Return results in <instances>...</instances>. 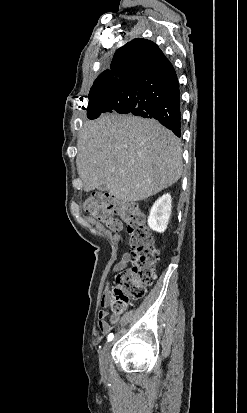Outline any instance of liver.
I'll return each mask as SVG.
<instances>
[{"label": "liver", "mask_w": 247, "mask_h": 413, "mask_svg": "<svg viewBox=\"0 0 247 413\" xmlns=\"http://www.w3.org/2000/svg\"><path fill=\"white\" fill-rule=\"evenodd\" d=\"M77 170L86 192L105 186L118 200H143L182 174L180 140L153 118L106 112L85 120Z\"/></svg>", "instance_id": "1"}]
</instances>
